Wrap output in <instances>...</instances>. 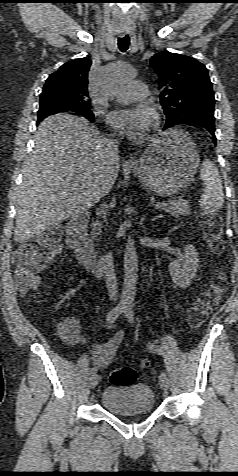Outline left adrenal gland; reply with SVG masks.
I'll return each mask as SVG.
<instances>
[{"label":"left adrenal gland","mask_w":238,"mask_h":476,"mask_svg":"<svg viewBox=\"0 0 238 476\" xmlns=\"http://www.w3.org/2000/svg\"><path fill=\"white\" fill-rule=\"evenodd\" d=\"M160 217H161V214H160V215H156V216L153 217L152 220H156L157 218H160Z\"/></svg>","instance_id":"a2214340"}]
</instances>
